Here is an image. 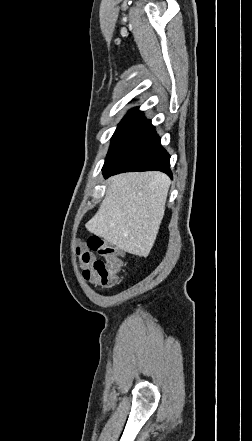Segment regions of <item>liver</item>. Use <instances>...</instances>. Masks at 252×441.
Returning <instances> with one entry per match:
<instances>
[{"instance_id":"liver-1","label":"liver","mask_w":252,"mask_h":441,"mask_svg":"<svg viewBox=\"0 0 252 441\" xmlns=\"http://www.w3.org/2000/svg\"><path fill=\"white\" fill-rule=\"evenodd\" d=\"M170 184L169 177L157 171L109 178L105 198L87 222V230L125 252L148 256L164 216Z\"/></svg>"}]
</instances>
